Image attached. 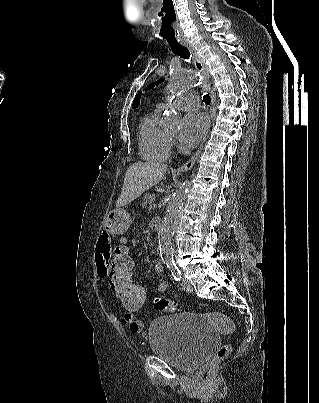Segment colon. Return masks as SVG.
<instances>
[{"instance_id": "colon-1", "label": "colon", "mask_w": 319, "mask_h": 403, "mask_svg": "<svg viewBox=\"0 0 319 403\" xmlns=\"http://www.w3.org/2000/svg\"><path fill=\"white\" fill-rule=\"evenodd\" d=\"M119 248L123 252H114L113 259V286L114 299L121 304L123 313H146V294L149 291V282H134L132 277L133 268L137 262L135 252H128L124 249H133L134 241L130 234L118 235ZM154 307L159 314H169L179 311L178 304L174 301L162 298H154ZM232 351L231 344L222 345L213 357L209 369V375L215 372L217 365L224 360Z\"/></svg>"}]
</instances>
